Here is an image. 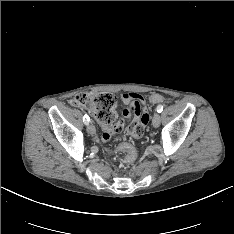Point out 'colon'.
I'll return each instance as SVG.
<instances>
[{
    "mask_svg": "<svg viewBox=\"0 0 234 234\" xmlns=\"http://www.w3.org/2000/svg\"><path fill=\"white\" fill-rule=\"evenodd\" d=\"M148 99L153 104H162L165 101L164 96L154 93L149 94ZM71 104L77 107L90 109L99 122L111 123L114 125V122L119 120L121 122V126H123V120L116 117L114 114L116 100L110 93L101 92L80 94L71 100ZM98 144L100 145L99 150L105 156H116L119 153L126 154L124 162L127 165H132L137 158L135 149L128 142H119L117 145L113 144L109 146L103 138H100L98 140Z\"/></svg>",
    "mask_w": 234,
    "mask_h": 234,
    "instance_id": "5ec220e1",
    "label": "colon"
}]
</instances>
